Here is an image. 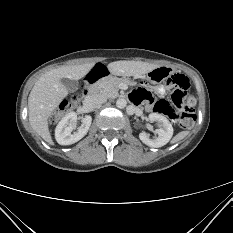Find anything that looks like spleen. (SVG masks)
<instances>
[{"mask_svg": "<svg viewBox=\"0 0 233 233\" xmlns=\"http://www.w3.org/2000/svg\"><path fill=\"white\" fill-rule=\"evenodd\" d=\"M188 135H189L188 131H181L173 138L172 142L173 143L179 142L183 140L184 138H186Z\"/></svg>", "mask_w": 233, "mask_h": 233, "instance_id": "3e777b00", "label": "spleen"}]
</instances>
